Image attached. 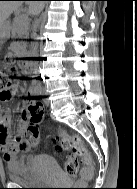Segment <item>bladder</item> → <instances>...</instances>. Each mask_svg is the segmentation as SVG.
Returning <instances> with one entry per match:
<instances>
[{
	"mask_svg": "<svg viewBox=\"0 0 137 189\" xmlns=\"http://www.w3.org/2000/svg\"><path fill=\"white\" fill-rule=\"evenodd\" d=\"M7 175L9 180L15 183L41 186L59 178L60 169L54 157L41 155L32 165L18 171L8 170Z\"/></svg>",
	"mask_w": 137,
	"mask_h": 189,
	"instance_id": "bladder-1",
	"label": "bladder"
}]
</instances>
